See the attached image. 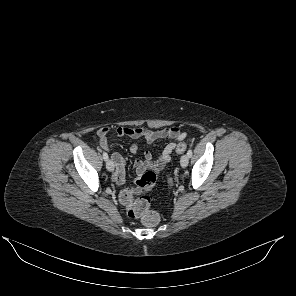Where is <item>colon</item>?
I'll return each instance as SVG.
<instances>
[{"mask_svg": "<svg viewBox=\"0 0 296 296\" xmlns=\"http://www.w3.org/2000/svg\"><path fill=\"white\" fill-rule=\"evenodd\" d=\"M188 148V144L181 142L177 145L175 151L178 154L184 153ZM156 184V173L152 170L144 171L135 181L138 189L151 191ZM121 203L127 208L128 215L132 218H139L145 226H156L160 221L159 214L151 209L150 199L143 196L134 199L130 190H123L120 194Z\"/></svg>", "mask_w": 296, "mask_h": 296, "instance_id": "1", "label": "colon"}]
</instances>
